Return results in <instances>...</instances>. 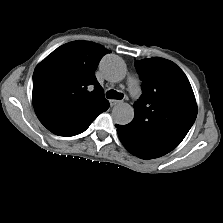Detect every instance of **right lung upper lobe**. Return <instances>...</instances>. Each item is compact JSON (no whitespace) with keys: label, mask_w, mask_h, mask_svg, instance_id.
<instances>
[{"label":"right lung upper lobe","mask_w":223,"mask_h":223,"mask_svg":"<svg viewBox=\"0 0 223 223\" xmlns=\"http://www.w3.org/2000/svg\"><path fill=\"white\" fill-rule=\"evenodd\" d=\"M109 52L99 44L70 42L54 50L35 68L34 109L52 133L77 135L109 108L94 74L100 59Z\"/></svg>","instance_id":"1"}]
</instances>
